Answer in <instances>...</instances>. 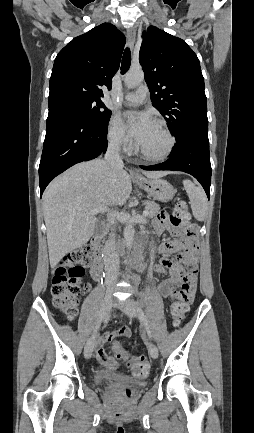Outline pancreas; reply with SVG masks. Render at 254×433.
<instances>
[{"label": "pancreas", "mask_w": 254, "mask_h": 433, "mask_svg": "<svg viewBox=\"0 0 254 433\" xmlns=\"http://www.w3.org/2000/svg\"><path fill=\"white\" fill-rule=\"evenodd\" d=\"M143 203L145 205L146 210L148 211L147 216L149 218L156 216V214L158 213V211L160 209V206L157 203H155L154 201H149V200H146Z\"/></svg>", "instance_id": "pancreas-1"}]
</instances>
